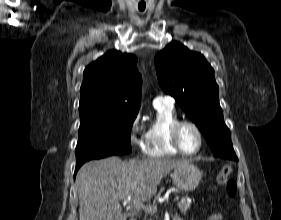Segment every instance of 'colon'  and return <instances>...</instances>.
<instances>
[{"instance_id": "obj_1", "label": "colon", "mask_w": 281, "mask_h": 220, "mask_svg": "<svg viewBox=\"0 0 281 220\" xmlns=\"http://www.w3.org/2000/svg\"><path fill=\"white\" fill-rule=\"evenodd\" d=\"M232 168L230 165H225L221 168L217 175V183L220 185H225L229 196H234L236 194V183L230 178ZM221 216L218 214L212 215L209 220H220Z\"/></svg>"}]
</instances>
